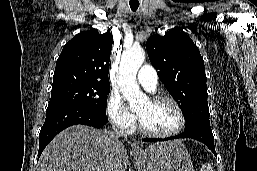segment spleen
<instances>
[{
	"label": "spleen",
	"mask_w": 257,
	"mask_h": 171,
	"mask_svg": "<svg viewBox=\"0 0 257 171\" xmlns=\"http://www.w3.org/2000/svg\"><path fill=\"white\" fill-rule=\"evenodd\" d=\"M200 171H213V169L210 164H204Z\"/></svg>",
	"instance_id": "spleen-1"
}]
</instances>
